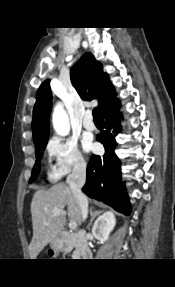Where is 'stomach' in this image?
<instances>
[{
  "mask_svg": "<svg viewBox=\"0 0 175 287\" xmlns=\"http://www.w3.org/2000/svg\"><path fill=\"white\" fill-rule=\"evenodd\" d=\"M50 247L56 251L61 250L63 248V240L57 236L50 241Z\"/></svg>",
  "mask_w": 175,
  "mask_h": 287,
  "instance_id": "stomach-1",
  "label": "stomach"
}]
</instances>
